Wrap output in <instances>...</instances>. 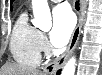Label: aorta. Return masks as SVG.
Wrapping results in <instances>:
<instances>
[{
    "label": "aorta",
    "instance_id": "obj_1",
    "mask_svg": "<svg viewBox=\"0 0 102 75\" xmlns=\"http://www.w3.org/2000/svg\"><path fill=\"white\" fill-rule=\"evenodd\" d=\"M34 14L33 24L41 30H49L52 25L50 9L47 0H32ZM76 59L72 57L64 66L61 75L75 74Z\"/></svg>",
    "mask_w": 102,
    "mask_h": 75
}]
</instances>
